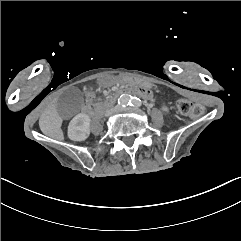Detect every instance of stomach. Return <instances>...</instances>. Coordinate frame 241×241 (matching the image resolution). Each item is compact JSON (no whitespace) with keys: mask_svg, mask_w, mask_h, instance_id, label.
Here are the masks:
<instances>
[{"mask_svg":"<svg viewBox=\"0 0 241 241\" xmlns=\"http://www.w3.org/2000/svg\"><path fill=\"white\" fill-rule=\"evenodd\" d=\"M119 81L121 82H127V83H134L137 85H142V86H150L151 83L146 81V80H139V79H133V78H118Z\"/></svg>","mask_w":241,"mask_h":241,"instance_id":"obj_1","label":"stomach"}]
</instances>
